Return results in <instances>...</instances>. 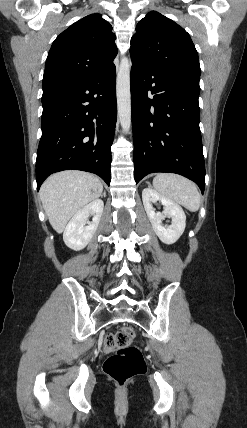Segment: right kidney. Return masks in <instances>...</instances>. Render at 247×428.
Returning <instances> with one entry per match:
<instances>
[{
    "mask_svg": "<svg viewBox=\"0 0 247 428\" xmlns=\"http://www.w3.org/2000/svg\"><path fill=\"white\" fill-rule=\"evenodd\" d=\"M103 208V201L95 199L72 217L63 233V240L67 247L79 251L87 246L99 225ZM90 215H93L92 221L86 222ZM86 223L87 226H85Z\"/></svg>",
    "mask_w": 247,
    "mask_h": 428,
    "instance_id": "1",
    "label": "right kidney"
}]
</instances>
